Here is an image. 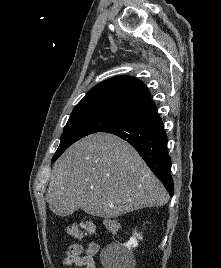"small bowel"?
Instances as JSON below:
<instances>
[{"instance_id":"c3829d8e","label":"small bowel","mask_w":221,"mask_h":268,"mask_svg":"<svg viewBox=\"0 0 221 268\" xmlns=\"http://www.w3.org/2000/svg\"><path fill=\"white\" fill-rule=\"evenodd\" d=\"M99 250L96 242H89L86 246L75 243L66 252L63 264L80 268H96L94 256Z\"/></svg>"}]
</instances>
